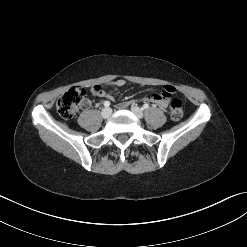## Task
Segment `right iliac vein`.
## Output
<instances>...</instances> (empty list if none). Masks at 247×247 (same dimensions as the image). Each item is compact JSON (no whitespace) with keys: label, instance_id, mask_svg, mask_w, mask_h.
I'll use <instances>...</instances> for the list:
<instances>
[{"label":"right iliac vein","instance_id":"1","mask_svg":"<svg viewBox=\"0 0 247 247\" xmlns=\"http://www.w3.org/2000/svg\"><path fill=\"white\" fill-rule=\"evenodd\" d=\"M111 113H112V111H111L110 108H104L102 110V112H101V115H102L103 118L106 119V118H109L110 117Z\"/></svg>","mask_w":247,"mask_h":247}]
</instances>
